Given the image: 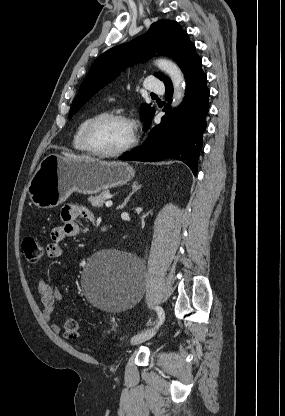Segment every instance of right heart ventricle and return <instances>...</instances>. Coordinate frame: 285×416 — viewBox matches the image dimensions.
<instances>
[{
	"mask_svg": "<svg viewBox=\"0 0 285 416\" xmlns=\"http://www.w3.org/2000/svg\"><path fill=\"white\" fill-rule=\"evenodd\" d=\"M97 114L98 113H94V114H91L82 118L75 129V132L72 137V145L79 152H82V153L88 152L82 141L83 129L86 123L88 122V120Z\"/></svg>",
	"mask_w": 285,
	"mask_h": 416,
	"instance_id": "e07e8e85",
	"label": "right heart ventricle"
}]
</instances>
